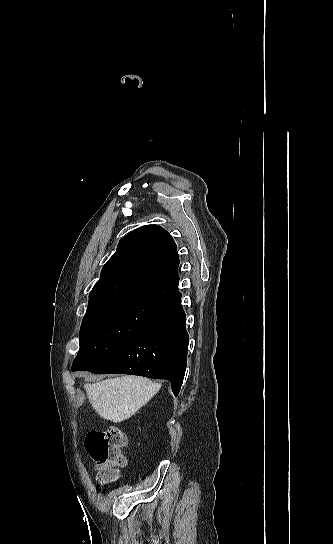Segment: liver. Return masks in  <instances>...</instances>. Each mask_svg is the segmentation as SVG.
<instances>
[{
    "mask_svg": "<svg viewBox=\"0 0 333 544\" xmlns=\"http://www.w3.org/2000/svg\"><path fill=\"white\" fill-rule=\"evenodd\" d=\"M161 385L144 377L122 376L85 384L87 397L100 417L120 423L145 405Z\"/></svg>",
    "mask_w": 333,
    "mask_h": 544,
    "instance_id": "1",
    "label": "liver"
}]
</instances>
